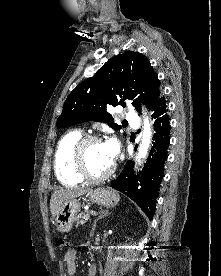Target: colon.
I'll return each mask as SVG.
<instances>
[{
	"mask_svg": "<svg viewBox=\"0 0 221 276\" xmlns=\"http://www.w3.org/2000/svg\"><path fill=\"white\" fill-rule=\"evenodd\" d=\"M55 245L57 247L62 248V247H67L68 243L65 240H63V239H59V240L56 241Z\"/></svg>",
	"mask_w": 221,
	"mask_h": 276,
	"instance_id": "colon-1",
	"label": "colon"
}]
</instances>
